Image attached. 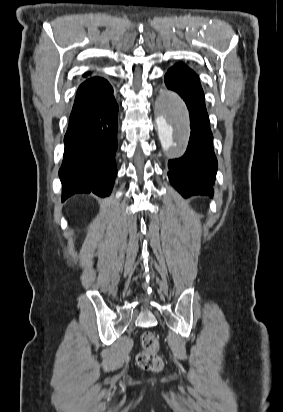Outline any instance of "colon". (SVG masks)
I'll use <instances>...</instances> for the list:
<instances>
[{
	"label": "colon",
	"instance_id": "5ec220e1",
	"mask_svg": "<svg viewBox=\"0 0 283 412\" xmlns=\"http://www.w3.org/2000/svg\"><path fill=\"white\" fill-rule=\"evenodd\" d=\"M142 351L137 356L138 365L147 371L157 372L163 367V360L159 355V341L151 331L141 336Z\"/></svg>",
	"mask_w": 283,
	"mask_h": 412
}]
</instances>
